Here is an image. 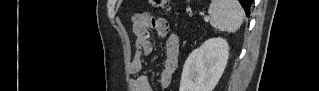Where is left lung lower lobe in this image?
Wrapping results in <instances>:
<instances>
[{"instance_id":"0a47b994","label":"left lung lower lobe","mask_w":319,"mask_h":91,"mask_svg":"<svg viewBox=\"0 0 319 91\" xmlns=\"http://www.w3.org/2000/svg\"><path fill=\"white\" fill-rule=\"evenodd\" d=\"M240 4L245 10L246 16L250 15V5L252 3V0H239Z\"/></svg>"}]
</instances>
